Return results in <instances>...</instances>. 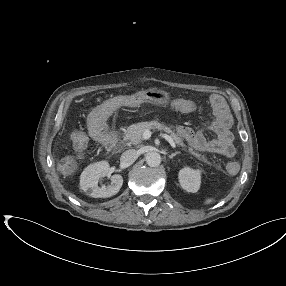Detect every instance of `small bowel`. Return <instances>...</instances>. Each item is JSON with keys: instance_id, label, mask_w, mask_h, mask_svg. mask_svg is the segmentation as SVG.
<instances>
[{"instance_id": "obj_1", "label": "small bowel", "mask_w": 286, "mask_h": 286, "mask_svg": "<svg viewBox=\"0 0 286 286\" xmlns=\"http://www.w3.org/2000/svg\"><path fill=\"white\" fill-rule=\"evenodd\" d=\"M210 104L216 117L215 122L199 130L181 125L177 127V134L197 150L231 158L235 155V146L234 137L230 131L232 118L228 106L221 95L212 96ZM172 107L176 111L187 114L196 110V104L186 99L174 100ZM210 133L214 134L215 138H209Z\"/></svg>"}]
</instances>
